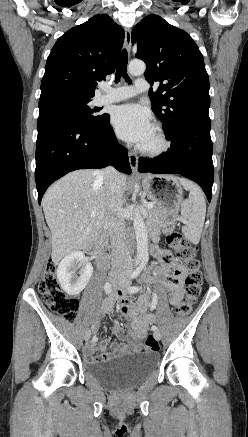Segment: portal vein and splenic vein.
<instances>
[{"label":"portal vein and splenic vein","instance_id":"18ae733b","mask_svg":"<svg viewBox=\"0 0 248 437\" xmlns=\"http://www.w3.org/2000/svg\"><path fill=\"white\" fill-rule=\"evenodd\" d=\"M153 206V203H148L147 205H146V208H151ZM95 215H96V212L95 211H92L91 213H90V216L91 217H95Z\"/></svg>","mask_w":248,"mask_h":437}]
</instances>
